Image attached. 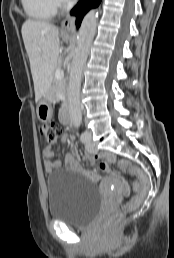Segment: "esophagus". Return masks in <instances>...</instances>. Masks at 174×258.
Segmentation results:
<instances>
[{
  "label": "esophagus",
  "instance_id": "obj_1",
  "mask_svg": "<svg viewBox=\"0 0 174 258\" xmlns=\"http://www.w3.org/2000/svg\"><path fill=\"white\" fill-rule=\"evenodd\" d=\"M75 29V17L68 15L62 24V30L66 32H73Z\"/></svg>",
  "mask_w": 174,
  "mask_h": 258
}]
</instances>
